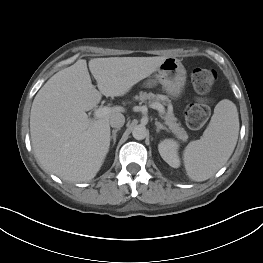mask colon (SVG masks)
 I'll return each mask as SVG.
<instances>
[{
    "label": "colon",
    "mask_w": 263,
    "mask_h": 263,
    "mask_svg": "<svg viewBox=\"0 0 263 263\" xmlns=\"http://www.w3.org/2000/svg\"><path fill=\"white\" fill-rule=\"evenodd\" d=\"M214 70L197 68L192 73V83L195 90L201 94L207 93L216 81ZM209 116V108L204 103L191 104L186 110V121L189 127L197 129L202 127Z\"/></svg>",
    "instance_id": "1"
}]
</instances>
